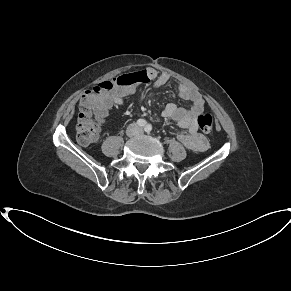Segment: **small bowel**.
Listing matches in <instances>:
<instances>
[{
	"instance_id": "small-bowel-1",
	"label": "small bowel",
	"mask_w": 291,
	"mask_h": 291,
	"mask_svg": "<svg viewBox=\"0 0 291 291\" xmlns=\"http://www.w3.org/2000/svg\"><path fill=\"white\" fill-rule=\"evenodd\" d=\"M141 80L138 82L121 87L103 98L109 106L114 104L121 106L124 103L125 97L132 95L138 85L145 80H153L155 87L165 85L170 76L167 73H158L154 68H146L139 73ZM177 95L182 100H187L192 103L189 108L178 107L174 103H169L162 111V116L165 119H172L177 122L179 128L184 130L178 135L179 141L188 149L193 151H204L207 147V140L198 133L197 116L200 115L205 108V102L202 96L192 87L185 83L178 84Z\"/></svg>"
}]
</instances>
